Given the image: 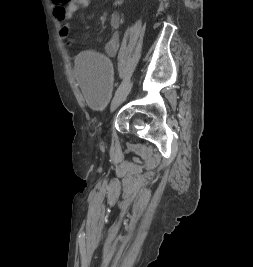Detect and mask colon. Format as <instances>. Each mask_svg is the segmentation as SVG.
Returning a JSON list of instances; mask_svg holds the SVG:
<instances>
[{"label": "colon", "mask_w": 253, "mask_h": 267, "mask_svg": "<svg viewBox=\"0 0 253 267\" xmlns=\"http://www.w3.org/2000/svg\"><path fill=\"white\" fill-rule=\"evenodd\" d=\"M68 34H69V29L66 28V27H63L61 29V36H62V38H66L68 36Z\"/></svg>", "instance_id": "obj_1"}]
</instances>
